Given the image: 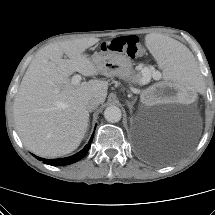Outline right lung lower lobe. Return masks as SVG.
<instances>
[{"mask_svg":"<svg viewBox=\"0 0 215 215\" xmlns=\"http://www.w3.org/2000/svg\"><path fill=\"white\" fill-rule=\"evenodd\" d=\"M93 136L91 137L89 143L92 142L93 140ZM90 148V144H87L84 149H82L80 152H78L77 154L73 155V156H70V157H66V158H60V159H42V158H39L36 156V158L38 160H44V163L45 164H48V165H52V166H64V165H69V164H72V163H75L77 162L78 160L82 159L88 152Z\"/></svg>","mask_w":215,"mask_h":215,"instance_id":"1","label":"right lung lower lobe"}]
</instances>
